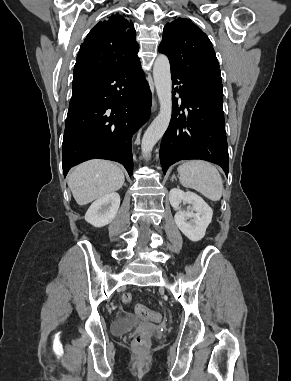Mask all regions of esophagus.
I'll use <instances>...</instances> for the list:
<instances>
[{
  "mask_svg": "<svg viewBox=\"0 0 291 381\" xmlns=\"http://www.w3.org/2000/svg\"><path fill=\"white\" fill-rule=\"evenodd\" d=\"M156 107H157V102H156V99L154 98L153 99V110L154 111L156 110Z\"/></svg>",
  "mask_w": 291,
  "mask_h": 381,
  "instance_id": "esophagus-1",
  "label": "esophagus"
}]
</instances>
